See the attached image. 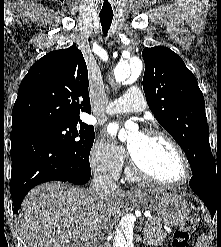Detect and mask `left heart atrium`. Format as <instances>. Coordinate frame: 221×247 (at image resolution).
Segmentation results:
<instances>
[{
  "mask_svg": "<svg viewBox=\"0 0 221 247\" xmlns=\"http://www.w3.org/2000/svg\"><path fill=\"white\" fill-rule=\"evenodd\" d=\"M118 129H119L118 124L112 123V124L107 126L106 133L111 137H115V135L117 134Z\"/></svg>",
  "mask_w": 221,
  "mask_h": 247,
  "instance_id": "39dd6f15",
  "label": "left heart atrium"
}]
</instances>
